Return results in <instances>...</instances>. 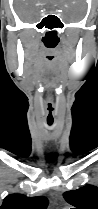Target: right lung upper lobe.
I'll return each mask as SVG.
<instances>
[{"instance_id": "cb5924a9", "label": "right lung upper lobe", "mask_w": 98, "mask_h": 209, "mask_svg": "<svg viewBox=\"0 0 98 209\" xmlns=\"http://www.w3.org/2000/svg\"><path fill=\"white\" fill-rule=\"evenodd\" d=\"M48 199L43 196L27 197L22 194H10L4 201L0 209H46Z\"/></svg>"}]
</instances>
